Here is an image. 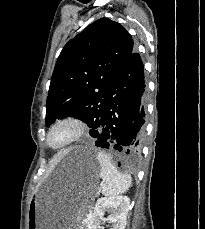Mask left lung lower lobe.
Listing matches in <instances>:
<instances>
[{
	"mask_svg": "<svg viewBox=\"0 0 205 229\" xmlns=\"http://www.w3.org/2000/svg\"><path fill=\"white\" fill-rule=\"evenodd\" d=\"M145 88L143 62L133 50L108 91L99 129L92 135L97 139L96 146L122 151L131 159L140 155L145 124Z\"/></svg>",
	"mask_w": 205,
	"mask_h": 229,
	"instance_id": "1",
	"label": "left lung lower lobe"
}]
</instances>
